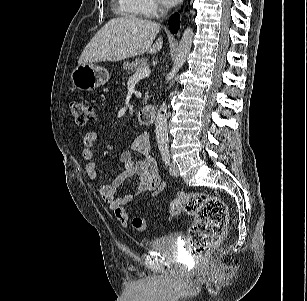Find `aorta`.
<instances>
[{"instance_id":"aorta-1","label":"aorta","mask_w":307,"mask_h":301,"mask_svg":"<svg viewBox=\"0 0 307 301\" xmlns=\"http://www.w3.org/2000/svg\"><path fill=\"white\" fill-rule=\"evenodd\" d=\"M193 30L187 28L179 42L175 63L168 74V78L173 79L179 69L184 65L192 47ZM156 142L159 148L168 146V129H167V105L163 101L159 107L155 121Z\"/></svg>"}]
</instances>
